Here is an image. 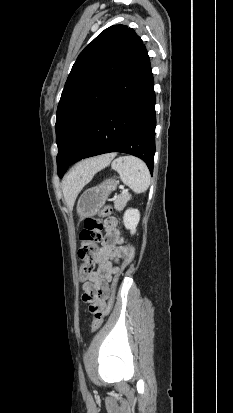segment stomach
I'll use <instances>...</instances> for the list:
<instances>
[{
  "label": "stomach",
  "mask_w": 233,
  "mask_h": 413,
  "mask_svg": "<svg viewBox=\"0 0 233 413\" xmlns=\"http://www.w3.org/2000/svg\"><path fill=\"white\" fill-rule=\"evenodd\" d=\"M116 187L117 181L108 179L98 186L87 189L80 196L77 203V214L80 220L96 215L105 205L108 196Z\"/></svg>",
  "instance_id": "1"
}]
</instances>
